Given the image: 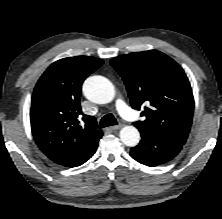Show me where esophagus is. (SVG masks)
<instances>
[{"label": "esophagus", "instance_id": "obj_1", "mask_svg": "<svg viewBox=\"0 0 222 219\" xmlns=\"http://www.w3.org/2000/svg\"><path fill=\"white\" fill-rule=\"evenodd\" d=\"M124 125L123 124H119V125H116V126H112L111 129L112 130H118V129H121Z\"/></svg>", "mask_w": 222, "mask_h": 219}]
</instances>
